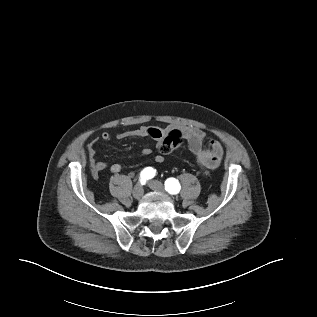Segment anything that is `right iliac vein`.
<instances>
[{"label":"right iliac vein","mask_w":317,"mask_h":317,"mask_svg":"<svg viewBox=\"0 0 317 317\" xmlns=\"http://www.w3.org/2000/svg\"><path fill=\"white\" fill-rule=\"evenodd\" d=\"M144 194L143 186L140 184H137L133 189V196L136 199H140Z\"/></svg>","instance_id":"obj_1"}]
</instances>
